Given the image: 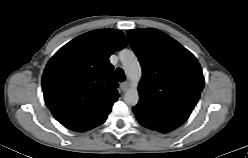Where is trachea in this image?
Returning <instances> with one entry per match:
<instances>
[{"label":"trachea","mask_w":248,"mask_h":158,"mask_svg":"<svg viewBox=\"0 0 248 158\" xmlns=\"http://www.w3.org/2000/svg\"><path fill=\"white\" fill-rule=\"evenodd\" d=\"M116 79L118 82H123L125 80V74L121 68L116 69Z\"/></svg>","instance_id":"trachea-1"}]
</instances>
